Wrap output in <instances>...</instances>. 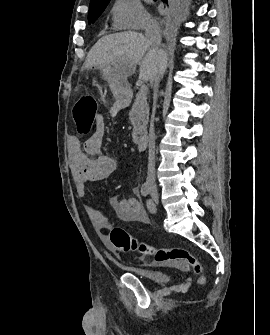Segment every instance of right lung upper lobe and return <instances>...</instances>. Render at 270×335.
<instances>
[{"instance_id":"1","label":"right lung upper lobe","mask_w":270,"mask_h":335,"mask_svg":"<svg viewBox=\"0 0 270 335\" xmlns=\"http://www.w3.org/2000/svg\"><path fill=\"white\" fill-rule=\"evenodd\" d=\"M110 0H90L91 5H98V4H108Z\"/></svg>"}]
</instances>
